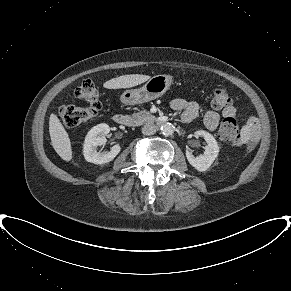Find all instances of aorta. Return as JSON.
Returning a JSON list of instances; mask_svg holds the SVG:
<instances>
[{"label": "aorta", "mask_w": 291, "mask_h": 291, "mask_svg": "<svg viewBox=\"0 0 291 291\" xmlns=\"http://www.w3.org/2000/svg\"><path fill=\"white\" fill-rule=\"evenodd\" d=\"M161 132L165 136H170L174 133V126L171 123H165L161 126Z\"/></svg>", "instance_id": "762f6f07"}]
</instances>
